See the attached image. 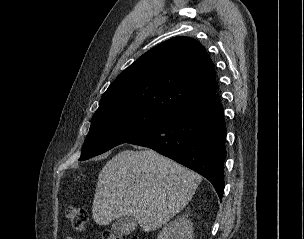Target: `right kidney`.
Returning a JSON list of instances; mask_svg holds the SVG:
<instances>
[{
    "instance_id": "right-kidney-1",
    "label": "right kidney",
    "mask_w": 304,
    "mask_h": 239,
    "mask_svg": "<svg viewBox=\"0 0 304 239\" xmlns=\"http://www.w3.org/2000/svg\"><path fill=\"white\" fill-rule=\"evenodd\" d=\"M193 223L188 215H181L167 224L157 239H193Z\"/></svg>"
}]
</instances>
